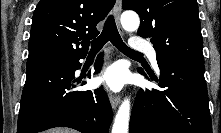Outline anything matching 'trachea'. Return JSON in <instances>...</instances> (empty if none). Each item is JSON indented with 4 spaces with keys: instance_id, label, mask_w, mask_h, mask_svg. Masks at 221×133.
<instances>
[{
    "instance_id": "1",
    "label": "trachea",
    "mask_w": 221,
    "mask_h": 133,
    "mask_svg": "<svg viewBox=\"0 0 221 133\" xmlns=\"http://www.w3.org/2000/svg\"><path fill=\"white\" fill-rule=\"evenodd\" d=\"M108 41H110L118 50L126 55L143 56L141 53L130 49L123 42L112 15L107 18L100 36L92 41L90 52H98Z\"/></svg>"
}]
</instances>
